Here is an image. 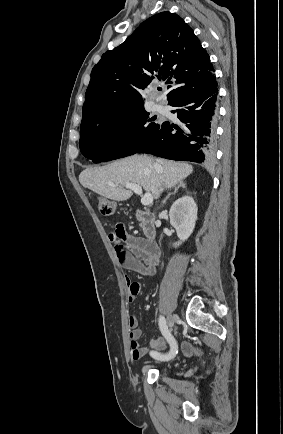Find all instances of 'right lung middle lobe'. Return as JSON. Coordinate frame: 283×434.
I'll use <instances>...</instances> for the list:
<instances>
[{
  "label": "right lung middle lobe",
  "instance_id": "obj_1",
  "mask_svg": "<svg viewBox=\"0 0 283 434\" xmlns=\"http://www.w3.org/2000/svg\"><path fill=\"white\" fill-rule=\"evenodd\" d=\"M153 120L140 107L80 129V151L94 163L135 154L159 129Z\"/></svg>",
  "mask_w": 283,
  "mask_h": 434
}]
</instances>
